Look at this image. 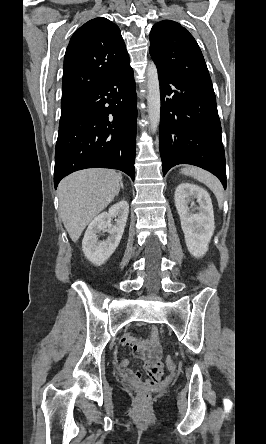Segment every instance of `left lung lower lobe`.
<instances>
[{
	"instance_id": "1",
	"label": "left lung lower lobe",
	"mask_w": 266,
	"mask_h": 444,
	"mask_svg": "<svg viewBox=\"0 0 266 444\" xmlns=\"http://www.w3.org/2000/svg\"><path fill=\"white\" fill-rule=\"evenodd\" d=\"M157 69L163 174L177 164H191L216 175L226 188L221 124L211 80L180 78Z\"/></svg>"
}]
</instances>
